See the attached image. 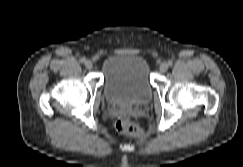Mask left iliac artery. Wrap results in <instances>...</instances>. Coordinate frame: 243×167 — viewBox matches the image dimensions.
Listing matches in <instances>:
<instances>
[{
	"label": "left iliac artery",
	"mask_w": 243,
	"mask_h": 167,
	"mask_svg": "<svg viewBox=\"0 0 243 167\" xmlns=\"http://www.w3.org/2000/svg\"><path fill=\"white\" fill-rule=\"evenodd\" d=\"M168 65L169 66H172V61H168Z\"/></svg>",
	"instance_id": "obj_1"
}]
</instances>
